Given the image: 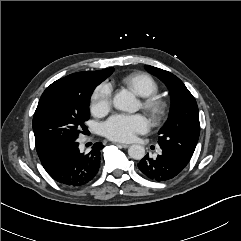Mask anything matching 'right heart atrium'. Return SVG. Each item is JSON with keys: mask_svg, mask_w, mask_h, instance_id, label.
I'll return each instance as SVG.
<instances>
[{"mask_svg": "<svg viewBox=\"0 0 241 241\" xmlns=\"http://www.w3.org/2000/svg\"><path fill=\"white\" fill-rule=\"evenodd\" d=\"M91 111L96 116L106 114L112 104V88L109 83L98 85L92 94Z\"/></svg>", "mask_w": 241, "mask_h": 241, "instance_id": "1", "label": "right heart atrium"}]
</instances>
